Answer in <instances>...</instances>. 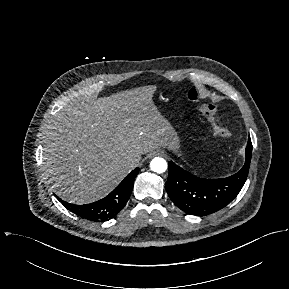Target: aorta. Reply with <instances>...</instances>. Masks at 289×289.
Wrapping results in <instances>:
<instances>
[{"mask_svg": "<svg viewBox=\"0 0 289 289\" xmlns=\"http://www.w3.org/2000/svg\"><path fill=\"white\" fill-rule=\"evenodd\" d=\"M167 162L165 159L156 157L150 163V168L156 173H163L167 169Z\"/></svg>", "mask_w": 289, "mask_h": 289, "instance_id": "1", "label": "aorta"}]
</instances>
